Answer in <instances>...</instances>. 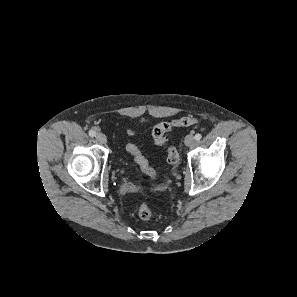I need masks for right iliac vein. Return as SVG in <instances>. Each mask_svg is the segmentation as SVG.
Returning <instances> with one entry per match:
<instances>
[{"label": "right iliac vein", "instance_id": "obj_1", "mask_svg": "<svg viewBox=\"0 0 297 297\" xmlns=\"http://www.w3.org/2000/svg\"><path fill=\"white\" fill-rule=\"evenodd\" d=\"M96 140L100 144H106L107 143V138L103 133H97L96 134Z\"/></svg>", "mask_w": 297, "mask_h": 297}]
</instances>
